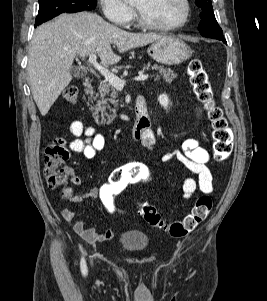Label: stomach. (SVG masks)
Returning <instances> with one entry per match:
<instances>
[{
	"mask_svg": "<svg viewBox=\"0 0 267 301\" xmlns=\"http://www.w3.org/2000/svg\"><path fill=\"white\" fill-rule=\"evenodd\" d=\"M147 53L158 63L177 65L188 60L193 51L183 40L164 36L153 42L147 49Z\"/></svg>",
	"mask_w": 267,
	"mask_h": 301,
	"instance_id": "obj_1",
	"label": "stomach"
}]
</instances>
